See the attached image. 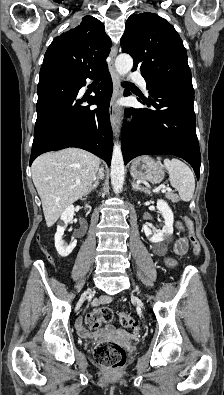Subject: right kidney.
Returning a JSON list of instances; mask_svg holds the SVG:
<instances>
[{
	"mask_svg": "<svg viewBox=\"0 0 224 395\" xmlns=\"http://www.w3.org/2000/svg\"><path fill=\"white\" fill-rule=\"evenodd\" d=\"M75 208L73 205L68 206L61 215V220L64 222V226H57L55 233V248L61 257H67L73 249L76 247L77 240H72L69 245H65L62 236L68 223H70L74 216Z\"/></svg>",
	"mask_w": 224,
	"mask_h": 395,
	"instance_id": "right-kidney-1",
	"label": "right kidney"
}]
</instances>
